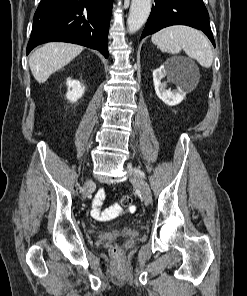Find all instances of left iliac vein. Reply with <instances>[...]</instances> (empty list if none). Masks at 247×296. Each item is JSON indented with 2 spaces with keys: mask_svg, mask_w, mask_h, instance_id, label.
<instances>
[{
  "mask_svg": "<svg viewBox=\"0 0 247 296\" xmlns=\"http://www.w3.org/2000/svg\"><path fill=\"white\" fill-rule=\"evenodd\" d=\"M129 179L131 183L141 191L144 202L150 204L152 201V193L147 182L143 180L133 168H129Z\"/></svg>",
  "mask_w": 247,
  "mask_h": 296,
  "instance_id": "left-iliac-vein-1",
  "label": "left iliac vein"
}]
</instances>
